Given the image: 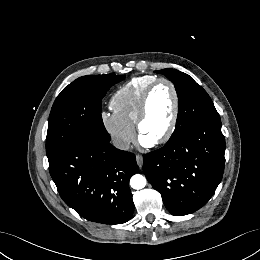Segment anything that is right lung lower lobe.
Instances as JSON below:
<instances>
[{
  "label": "right lung lower lobe",
  "instance_id": "1",
  "mask_svg": "<svg viewBox=\"0 0 260 260\" xmlns=\"http://www.w3.org/2000/svg\"><path fill=\"white\" fill-rule=\"evenodd\" d=\"M49 170L61 198L85 219L122 224L131 218L134 204L128 182L138 170L133 153L83 139L49 160Z\"/></svg>",
  "mask_w": 260,
  "mask_h": 260
}]
</instances>
